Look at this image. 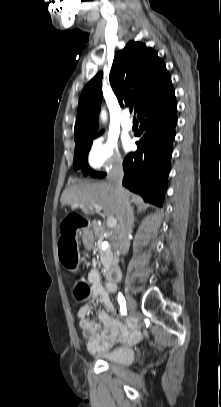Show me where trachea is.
<instances>
[{
  "mask_svg": "<svg viewBox=\"0 0 221 407\" xmlns=\"http://www.w3.org/2000/svg\"><path fill=\"white\" fill-rule=\"evenodd\" d=\"M132 111H133V107L130 108V112H132Z\"/></svg>",
  "mask_w": 221,
  "mask_h": 407,
  "instance_id": "1",
  "label": "trachea"
}]
</instances>
